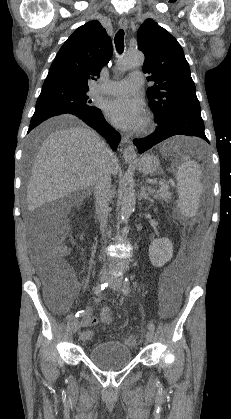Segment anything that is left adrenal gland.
<instances>
[{"label": "left adrenal gland", "mask_w": 231, "mask_h": 419, "mask_svg": "<svg viewBox=\"0 0 231 419\" xmlns=\"http://www.w3.org/2000/svg\"><path fill=\"white\" fill-rule=\"evenodd\" d=\"M140 198H143L145 200H148L150 202H153V199H151L150 196H149V194L146 193V187H144V186L141 187Z\"/></svg>", "instance_id": "a2214340"}]
</instances>
